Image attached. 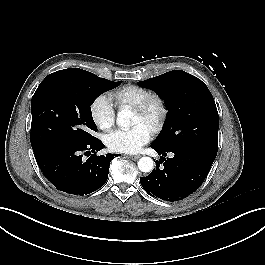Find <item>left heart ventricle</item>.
Segmentation results:
<instances>
[{
	"mask_svg": "<svg viewBox=\"0 0 265 265\" xmlns=\"http://www.w3.org/2000/svg\"><path fill=\"white\" fill-rule=\"evenodd\" d=\"M138 124H144V125L148 126L147 123L137 113L134 112L133 125L136 126Z\"/></svg>",
	"mask_w": 265,
	"mask_h": 265,
	"instance_id": "obj_1",
	"label": "left heart ventricle"
}]
</instances>
